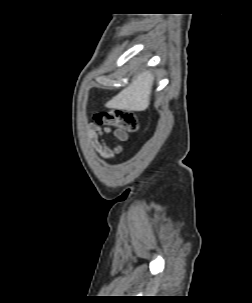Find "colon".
Listing matches in <instances>:
<instances>
[{"instance_id":"1","label":"colon","mask_w":252,"mask_h":303,"mask_svg":"<svg viewBox=\"0 0 252 303\" xmlns=\"http://www.w3.org/2000/svg\"><path fill=\"white\" fill-rule=\"evenodd\" d=\"M94 122L100 126H113L128 133L138 131V120L136 115L129 110L100 111L94 115Z\"/></svg>"}]
</instances>
